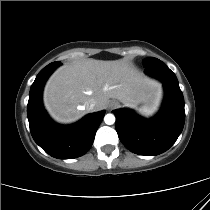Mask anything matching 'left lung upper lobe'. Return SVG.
I'll return each instance as SVG.
<instances>
[{
  "mask_svg": "<svg viewBox=\"0 0 210 210\" xmlns=\"http://www.w3.org/2000/svg\"><path fill=\"white\" fill-rule=\"evenodd\" d=\"M158 61H159V59L150 57V58H145V59L142 61V63H143V65L146 67V66H149V65H151V64H153V63H156V62H158Z\"/></svg>",
  "mask_w": 210,
  "mask_h": 210,
  "instance_id": "left-lung-upper-lobe-1",
  "label": "left lung upper lobe"
}]
</instances>
